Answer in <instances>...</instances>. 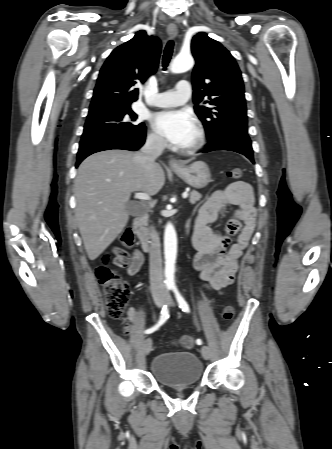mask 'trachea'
<instances>
[{"instance_id": "3493384b", "label": "trachea", "mask_w": 332, "mask_h": 449, "mask_svg": "<svg viewBox=\"0 0 332 449\" xmlns=\"http://www.w3.org/2000/svg\"><path fill=\"white\" fill-rule=\"evenodd\" d=\"M173 48H174V42L172 40H170L164 49V54H163V59H162V65H163L164 70H166V68L171 60Z\"/></svg>"}]
</instances>
